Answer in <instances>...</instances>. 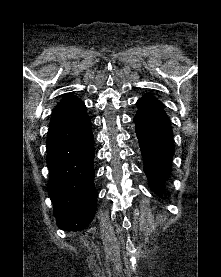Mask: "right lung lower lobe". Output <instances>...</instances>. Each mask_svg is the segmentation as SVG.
Masks as SVG:
<instances>
[{"label":"right lung lower lobe","instance_id":"1","mask_svg":"<svg viewBox=\"0 0 221 277\" xmlns=\"http://www.w3.org/2000/svg\"><path fill=\"white\" fill-rule=\"evenodd\" d=\"M91 120L76 96L65 95L55 107L47 137L48 194L57 225L82 230L93 219L94 149Z\"/></svg>","mask_w":221,"mask_h":277}]
</instances>
